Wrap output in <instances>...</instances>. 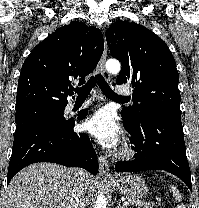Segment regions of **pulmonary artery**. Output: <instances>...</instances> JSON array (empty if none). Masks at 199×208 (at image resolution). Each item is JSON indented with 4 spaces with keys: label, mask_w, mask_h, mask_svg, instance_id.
I'll return each mask as SVG.
<instances>
[{
    "label": "pulmonary artery",
    "mask_w": 199,
    "mask_h": 208,
    "mask_svg": "<svg viewBox=\"0 0 199 208\" xmlns=\"http://www.w3.org/2000/svg\"><path fill=\"white\" fill-rule=\"evenodd\" d=\"M115 93L121 98H126L128 95H130L131 91L128 88L119 87V88L116 89ZM73 106H74V104H69L68 108L72 109Z\"/></svg>",
    "instance_id": "e3ab8cb5"
}]
</instances>
